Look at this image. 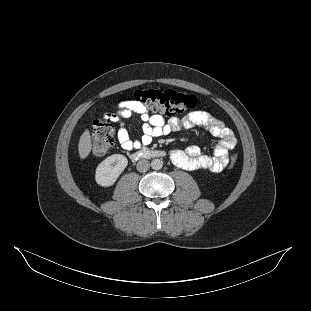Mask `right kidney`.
Returning a JSON list of instances; mask_svg holds the SVG:
<instances>
[{
    "instance_id": "ca27d5eb",
    "label": "right kidney",
    "mask_w": 311,
    "mask_h": 311,
    "mask_svg": "<svg viewBox=\"0 0 311 311\" xmlns=\"http://www.w3.org/2000/svg\"><path fill=\"white\" fill-rule=\"evenodd\" d=\"M127 164L128 160L122 154H113L107 157L96 168V182L106 187L113 185Z\"/></svg>"
}]
</instances>
